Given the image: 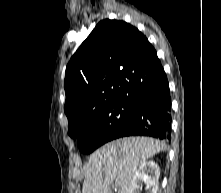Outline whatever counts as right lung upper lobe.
<instances>
[{
	"mask_svg": "<svg viewBox=\"0 0 221 193\" xmlns=\"http://www.w3.org/2000/svg\"><path fill=\"white\" fill-rule=\"evenodd\" d=\"M160 67L156 50L136 27L117 20L99 22L66 67L69 131L112 102L137 99Z\"/></svg>",
	"mask_w": 221,
	"mask_h": 193,
	"instance_id": "right-lung-upper-lobe-1",
	"label": "right lung upper lobe"
}]
</instances>
